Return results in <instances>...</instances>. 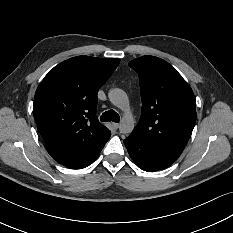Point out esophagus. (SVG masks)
I'll return each instance as SVG.
<instances>
[{"mask_svg": "<svg viewBox=\"0 0 233 233\" xmlns=\"http://www.w3.org/2000/svg\"><path fill=\"white\" fill-rule=\"evenodd\" d=\"M112 126L115 130H117L119 128V123H112Z\"/></svg>", "mask_w": 233, "mask_h": 233, "instance_id": "1", "label": "esophagus"}]
</instances>
